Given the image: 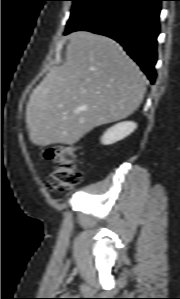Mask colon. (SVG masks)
I'll return each mask as SVG.
<instances>
[{
	"instance_id": "1",
	"label": "colon",
	"mask_w": 180,
	"mask_h": 299,
	"mask_svg": "<svg viewBox=\"0 0 180 299\" xmlns=\"http://www.w3.org/2000/svg\"><path fill=\"white\" fill-rule=\"evenodd\" d=\"M43 156L53 162L44 185L48 191L70 190L81 181L82 172L72 145L59 144L44 150Z\"/></svg>"
}]
</instances>
